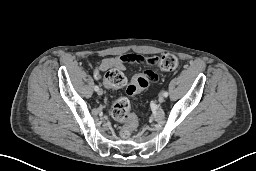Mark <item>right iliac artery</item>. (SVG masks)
<instances>
[{
	"label": "right iliac artery",
	"mask_w": 256,
	"mask_h": 171,
	"mask_svg": "<svg viewBox=\"0 0 256 171\" xmlns=\"http://www.w3.org/2000/svg\"><path fill=\"white\" fill-rule=\"evenodd\" d=\"M94 90H95V91H98V90H99V87H98V86H95V87H94Z\"/></svg>",
	"instance_id": "1"
}]
</instances>
